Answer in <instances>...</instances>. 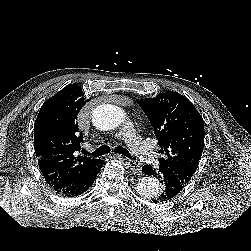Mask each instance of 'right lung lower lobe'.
Instances as JSON below:
<instances>
[{"label":"right lung lower lobe","mask_w":251,"mask_h":251,"mask_svg":"<svg viewBox=\"0 0 251 251\" xmlns=\"http://www.w3.org/2000/svg\"><path fill=\"white\" fill-rule=\"evenodd\" d=\"M102 165L103 160L100 159L99 164L88 173L80 175L79 177H71L57 182L47 183L56 193L62 196H78L93 184Z\"/></svg>","instance_id":"obj_1"}]
</instances>
